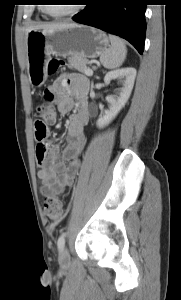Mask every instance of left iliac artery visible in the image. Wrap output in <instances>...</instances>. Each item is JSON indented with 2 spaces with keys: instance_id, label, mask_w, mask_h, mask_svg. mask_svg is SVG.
<instances>
[{
  "instance_id": "obj_1",
  "label": "left iliac artery",
  "mask_w": 181,
  "mask_h": 300,
  "mask_svg": "<svg viewBox=\"0 0 181 300\" xmlns=\"http://www.w3.org/2000/svg\"><path fill=\"white\" fill-rule=\"evenodd\" d=\"M65 236H66V234L63 233V234L60 235V237L58 238L57 246H58V249H59V250H62V249L64 248V245H65Z\"/></svg>"
}]
</instances>
